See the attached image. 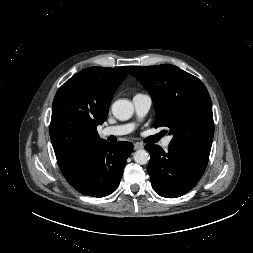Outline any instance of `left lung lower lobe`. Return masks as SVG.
<instances>
[{"instance_id": "obj_1", "label": "left lung lower lobe", "mask_w": 253, "mask_h": 253, "mask_svg": "<svg viewBox=\"0 0 253 253\" xmlns=\"http://www.w3.org/2000/svg\"><path fill=\"white\" fill-rule=\"evenodd\" d=\"M150 153L148 173L153 189L162 197L177 198L190 191L201 179L208 160L191 152L158 145H146Z\"/></svg>"}]
</instances>
